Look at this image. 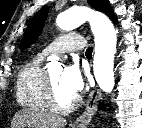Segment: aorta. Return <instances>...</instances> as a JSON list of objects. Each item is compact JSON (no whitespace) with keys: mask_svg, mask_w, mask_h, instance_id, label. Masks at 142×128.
Returning <instances> with one entry per match:
<instances>
[{"mask_svg":"<svg viewBox=\"0 0 142 128\" xmlns=\"http://www.w3.org/2000/svg\"><path fill=\"white\" fill-rule=\"evenodd\" d=\"M89 21L95 38L93 71L99 87L110 93L115 85L114 55L116 52L117 34L112 22L106 16L87 8H70L57 16L59 28L69 31ZM59 58L55 55L48 58V68L57 65Z\"/></svg>","mask_w":142,"mask_h":128,"instance_id":"obj_1","label":"aorta"}]
</instances>
